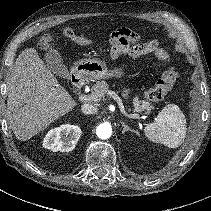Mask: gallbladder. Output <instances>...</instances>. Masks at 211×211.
<instances>
[{
	"mask_svg": "<svg viewBox=\"0 0 211 211\" xmlns=\"http://www.w3.org/2000/svg\"><path fill=\"white\" fill-rule=\"evenodd\" d=\"M45 62L50 70L59 76L68 72L57 49L50 48L47 50L45 53Z\"/></svg>",
	"mask_w": 211,
	"mask_h": 211,
	"instance_id": "bac80fb5",
	"label": "gallbladder"
}]
</instances>
